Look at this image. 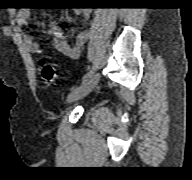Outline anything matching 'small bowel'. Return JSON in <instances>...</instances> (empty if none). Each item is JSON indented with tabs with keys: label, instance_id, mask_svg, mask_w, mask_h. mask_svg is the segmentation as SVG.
Masks as SVG:
<instances>
[{
	"label": "small bowel",
	"instance_id": "c3829d8e",
	"mask_svg": "<svg viewBox=\"0 0 192 180\" xmlns=\"http://www.w3.org/2000/svg\"><path fill=\"white\" fill-rule=\"evenodd\" d=\"M73 13L76 17H79L82 14H84L86 17L90 15L89 10L82 11L79 8H75L73 10ZM29 14L30 13L27 9L19 10L16 15L17 23L20 26L27 25ZM46 32L54 36V47L63 55L71 59H76L80 56L82 47L87 41L89 36L88 32L86 30H83L75 36L73 43H69L66 35L56 23L50 24L47 27ZM22 37H23L24 44L29 52L36 53L39 51V46L35 42L32 34L24 33Z\"/></svg>",
	"mask_w": 192,
	"mask_h": 180
}]
</instances>
